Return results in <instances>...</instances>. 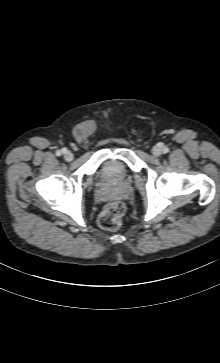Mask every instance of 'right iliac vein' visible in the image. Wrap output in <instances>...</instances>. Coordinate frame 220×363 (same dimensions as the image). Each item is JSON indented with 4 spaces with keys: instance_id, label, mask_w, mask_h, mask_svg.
Masks as SVG:
<instances>
[{
    "instance_id": "obj_1",
    "label": "right iliac vein",
    "mask_w": 220,
    "mask_h": 363,
    "mask_svg": "<svg viewBox=\"0 0 220 363\" xmlns=\"http://www.w3.org/2000/svg\"><path fill=\"white\" fill-rule=\"evenodd\" d=\"M73 158H74V155H73V153H72L71 151H66V152L64 153V159H65L66 161L70 162V161H72V160H73Z\"/></svg>"
}]
</instances>
